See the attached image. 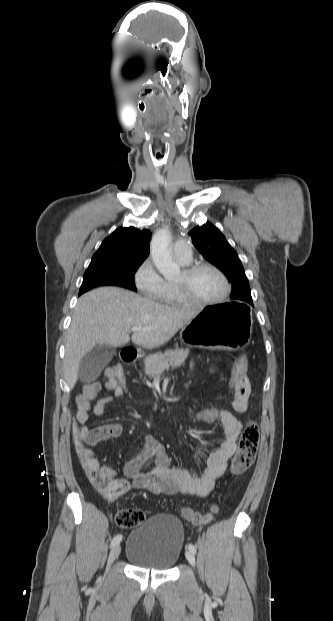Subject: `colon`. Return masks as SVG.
<instances>
[{
  "instance_id": "obj_1",
  "label": "colon",
  "mask_w": 333,
  "mask_h": 621,
  "mask_svg": "<svg viewBox=\"0 0 333 621\" xmlns=\"http://www.w3.org/2000/svg\"><path fill=\"white\" fill-rule=\"evenodd\" d=\"M108 377L114 378L122 387L123 392H127V379L118 366L109 368L106 372ZM247 376V358L245 355L238 357L230 380V388L234 387ZM192 418L205 423H214L220 421V410L206 409L196 412ZM73 441L77 456L85 471V474L93 485L104 497L108 498L115 492V487L110 476L105 472L93 452L87 447L85 439L80 433L77 423H73ZM259 446V429L254 421L249 422L243 430L237 452L233 458L231 465V473L239 476L244 474L253 465ZM215 508H213V511ZM185 518L193 525H202L207 523L212 514L202 515L191 509L184 510ZM145 519V514L139 509H122L116 515V524L121 528H132L141 524Z\"/></svg>"
}]
</instances>
